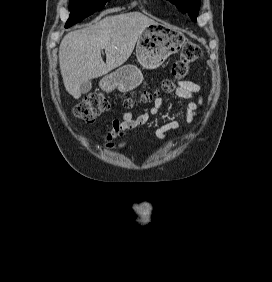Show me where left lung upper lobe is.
Wrapping results in <instances>:
<instances>
[{"label": "left lung upper lobe", "mask_w": 272, "mask_h": 282, "mask_svg": "<svg viewBox=\"0 0 272 282\" xmlns=\"http://www.w3.org/2000/svg\"><path fill=\"white\" fill-rule=\"evenodd\" d=\"M175 4L182 13H188L193 21H196L200 8V0H169Z\"/></svg>", "instance_id": "5c2ea615"}]
</instances>
